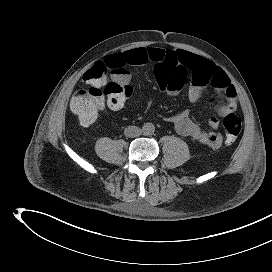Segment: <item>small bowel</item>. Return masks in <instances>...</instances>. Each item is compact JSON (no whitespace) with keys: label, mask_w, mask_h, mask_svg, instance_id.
<instances>
[{"label":"small bowel","mask_w":272,"mask_h":272,"mask_svg":"<svg viewBox=\"0 0 272 272\" xmlns=\"http://www.w3.org/2000/svg\"><path fill=\"white\" fill-rule=\"evenodd\" d=\"M107 67L146 66L154 64V73L159 90L167 95H178L189 78L187 99L190 103L197 102L204 89L210 85L214 91L216 111L220 117H226L237 110V92L225 71L209 60L185 50H166L161 48H135L121 53L108 55L99 62ZM126 70V69H125ZM117 78L130 79L129 72ZM174 129L182 136L195 142L218 149L223 142L217 131L219 120L212 117L209 120V131H204L192 121L187 112L172 118Z\"/></svg>","instance_id":"c3829d8e"}]
</instances>
